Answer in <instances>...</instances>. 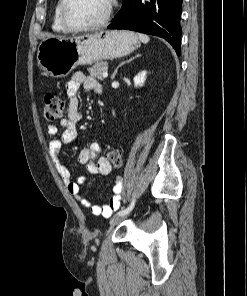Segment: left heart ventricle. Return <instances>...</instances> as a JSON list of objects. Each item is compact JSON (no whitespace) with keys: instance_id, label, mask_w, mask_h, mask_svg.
<instances>
[{"instance_id":"left-heart-ventricle-1","label":"left heart ventricle","mask_w":247,"mask_h":296,"mask_svg":"<svg viewBox=\"0 0 247 296\" xmlns=\"http://www.w3.org/2000/svg\"><path fill=\"white\" fill-rule=\"evenodd\" d=\"M107 9L108 0H71L68 15L76 25H91L101 21Z\"/></svg>"}]
</instances>
